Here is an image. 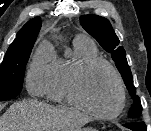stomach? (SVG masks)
I'll use <instances>...</instances> for the list:
<instances>
[{"label":"stomach","instance_id":"stomach-1","mask_svg":"<svg viewBox=\"0 0 151 131\" xmlns=\"http://www.w3.org/2000/svg\"><path fill=\"white\" fill-rule=\"evenodd\" d=\"M79 131H96L95 129H92V128H83Z\"/></svg>","mask_w":151,"mask_h":131}]
</instances>
